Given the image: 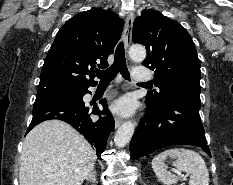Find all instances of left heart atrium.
I'll return each instance as SVG.
<instances>
[{
    "mask_svg": "<svg viewBox=\"0 0 233 185\" xmlns=\"http://www.w3.org/2000/svg\"><path fill=\"white\" fill-rule=\"evenodd\" d=\"M112 111L121 116H129L134 111V102L130 97H122L111 107Z\"/></svg>",
    "mask_w": 233,
    "mask_h": 185,
    "instance_id": "1",
    "label": "left heart atrium"
}]
</instances>
